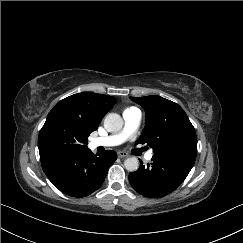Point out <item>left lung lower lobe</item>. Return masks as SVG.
<instances>
[{
	"label": "left lung lower lobe",
	"mask_w": 243,
	"mask_h": 243,
	"mask_svg": "<svg viewBox=\"0 0 243 243\" xmlns=\"http://www.w3.org/2000/svg\"><path fill=\"white\" fill-rule=\"evenodd\" d=\"M197 146L173 147L154 153L152 163L143 165L128 178L143 196L160 198L174 191L187 177L196 159Z\"/></svg>",
	"instance_id": "obj_1"
}]
</instances>
